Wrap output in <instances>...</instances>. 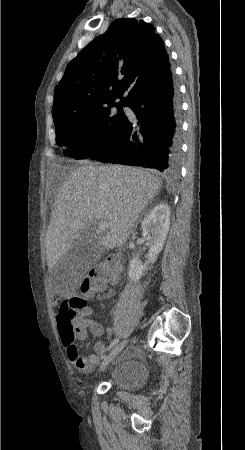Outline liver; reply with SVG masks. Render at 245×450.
Returning a JSON list of instances; mask_svg holds the SVG:
<instances>
[{"instance_id": "obj_1", "label": "liver", "mask_w": 245, "mask_h": 450, "mask_svg": "<svg viewBox=\"0 0 245 450\" xmlns=\"http://www.w3.org/2000/svg\"><path fill=\"white\" fill-rule=\"evenodd\" d=\"M159 178L140 168L82 165L60 186L45 236L47 265L53 269L88 224L106 221L103 247L123 246L147 204L159 193Z\"/></svg>"}]
</instances>
